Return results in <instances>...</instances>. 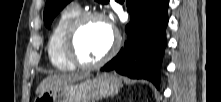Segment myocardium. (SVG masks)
Segmentation results:
<instances>
[{"mask_svg":"<svg viewBox=\"0 0 221 102\" xmlns=\"http://www.w3.org/2000/svg\"><path fill=\"white\" fill-rule=\"evenodd\" d=\"M102 20L107 23L106 17L96 11H87L80 13L70 24L64 41V54L67 60L73 64L75 67L83 68V69H94L97 67L102 66L107 61H109L119 46V37L118 35L113 32V40L109 50L98 60L94 62H86L83 61L77 54L76 51V38L80 28L89 20Z\"/></svg>","mask_w":221,"mask_h":102,"instance_id":"myocardium-1","label":"myocardium"}]
</instances>
